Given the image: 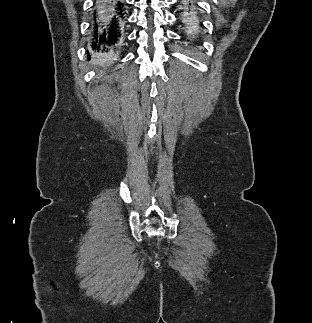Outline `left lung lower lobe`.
Segmentation results:
<instances>
[{
  "label": "left lung lower lobe",
  "mask_w": 312,
  "mask_h": 323,
  "mask_svg": "<svg viewBox=\"0 0 312 323\" xmlns=\"http://www.w3.org/2000/svg\"><path fill=\"white\" fill-rule=\"evenodd\" d=\"M182 6L184 7V25L186 26L187 36L189 37L188 41L191 43L192 47L200 46V38L198 35L200 34L201 28L203 27L202 24L195 21L188 12L191 11L193 7L192 3H183Z\"/></svg>",
  "instance_id": "left-lung-lower-lobe-1"
}]
</instances>
